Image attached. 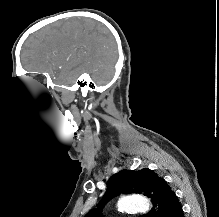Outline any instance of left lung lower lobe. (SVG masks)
I'll list each match as a JSON object with an SVG mask.
<instances>
[{
    "label": "left lung lower lobe",
    "instance_id": "obj_1",
    "mask_svg": "<svg viewBox=\"0 0 219 217\" xmlns=\"http://www.w3.org/2000/svg\"><path fill=\"white\" fill-rule=\"evenodd\" d=\"M171 217H184V213H183L181 204H179L176 207V209H175V211H174V213H173V215Z\"/></svg>",
    "mask_w": 219,
    "mask_h": 217
}]
</instances>
